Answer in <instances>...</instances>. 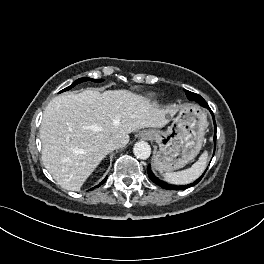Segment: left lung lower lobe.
I'll use <instances>...</instances> for the list:
<instances>
[{"mask_svg": "<svg viewBox=\"0 0 264 264\" xmlns=\"http://www.w3.org/2000/svg\"><path fill=\"white\" fill-rule=\"evenodd\" d=\"M196 100H197V102L200 103V105L206 107V104H207V103L205 102V100H204L201 96L198 95V96L196 97ZM196 100H195V101H196ZM211 113H212V116H213L214 126H215V135H214V143H215V145H214V151H215V147H216V123H215V118H214L213 112L211 111ZM147 172H148V176H149V178H150L154 183H156L157 185H159V186H161V187H163V188L170 189V190H183V189L189 188V187H191V186H194V185H196V184L202 179L203 175L205 174V172H204L203 175H202L199 179H197L195 182H193L192 184H189V185H183V186H174V185L167 184V183H165V182H163V181L157 179V178L153 175V173L151 172L150 166H148V168H147Z\"/></svg>", "mask_w": 264, "mask_h": 264, "instance_id": "1", "label": "left lung lower lobe"}]
</instances>
